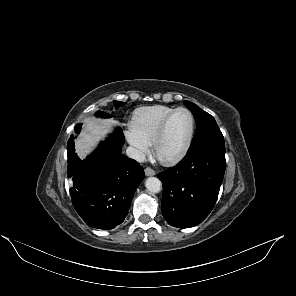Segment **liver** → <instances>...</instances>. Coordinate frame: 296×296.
I'll list each match as a JSON object with an SVG mask.
<instances>
[{
    "instance_id": "liver-1",
    "label": "liver",
    "mask_w": 296,
    "mask_h": 296,
    "mask_svg": "<svg viewBox=\"0 0 296 296\" xmlns=\"http://www.w3.org/2000/svg\"><path fill=\"white\" fill-rule=\"evenodd\" d=\"M110 126L111 122L108 120L87 119L80 138L75 142L78 155L85 158L97 143L111 131Z\"/></svg>"
}]
</instances>
